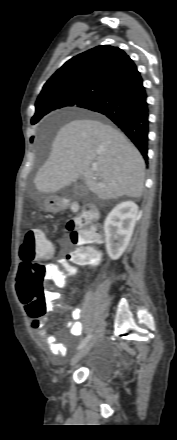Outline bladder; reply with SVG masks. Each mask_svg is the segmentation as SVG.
Returning <instances> with one entry per match:
<instances>
[{"instance_id":"31cf9c89","label":"bladder","mask_w":177,"mask_h":440,"mask_svg":"<svg viewBox=\"0 0 177 440\" xmlns=\"http://www.w3.org/2000/svg\"><path fill=\"white\" fill-rule=\"evenodd\" d=\"M88 370L96 380L105 381L112 373V361L106 358L93 356L88 361Z\"/></svg>"}]
</instances>
